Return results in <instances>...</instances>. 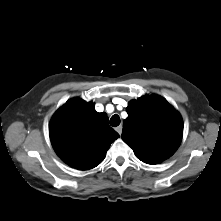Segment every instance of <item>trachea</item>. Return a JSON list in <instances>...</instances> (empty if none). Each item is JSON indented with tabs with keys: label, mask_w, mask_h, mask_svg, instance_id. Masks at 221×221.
Wrapping results in <instances>:
<instances>
[{
	"label": "trachea",
	"mask_w": 221,
	"mask_h": 221,
	"mask_svg": "<svg viewBox=\"0 0 221 221\" xmlns=\"http://www.w3.org/2000/svg\"><path fill=\"white\" fill-rule=\"evenodd\" d=\"M120 124V117L117 114H114L111 118H110V125L112 127H116Z\"/></svg>",
	"instance_id": "1"
}]
</instances>
